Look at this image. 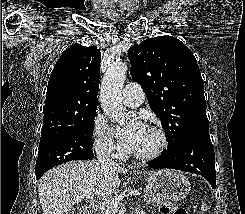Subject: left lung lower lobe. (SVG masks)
Segmentation results:
<instances>
[{
    "label": "left lung lower lobe",
    "instance_id": "left-lung-lower-lobe-1",
    "mask_svg": "<svg viewBox=\"0 0 245 214\" xmlns=\"http://www.w3.org/2000/svg\"><path fill=\"white\" fill-rule=\"evenodd\" d=\"M151 168H171L203 176L216 188L215 155L209 133H197L176 148L148 162Z\"/></svg>",
    "mask_w": 245,
    "mask_h": 214
}]
</instances>
